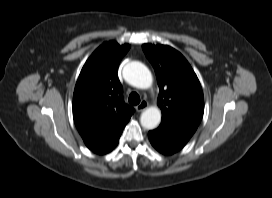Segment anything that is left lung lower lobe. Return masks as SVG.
I'll use <instances>...</instances> for the list:
<instances>
[{
	"label": "left lung lower lobe",
	"instance_id": "0a47b994",
	"mask_svg": "<svg viewBox=\"0 0 272 198\" xmlns=\"http://www.w3.org/2000/svg\"><path fill=\"white\" fill-rule=\"evenodd\" d=\"M193 134V132L161 121L157 129L148 133V137L155 149L165 155H171L183 148Z\"/></svg>",
	"mask_w": 272,
	"mask_h": 198
}]
</instances>
